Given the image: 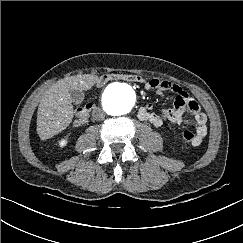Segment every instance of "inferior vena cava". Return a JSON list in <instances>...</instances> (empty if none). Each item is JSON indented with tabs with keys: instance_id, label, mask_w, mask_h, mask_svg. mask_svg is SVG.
Here are the masks:
<instances>
[{
	"instance_id": "1",
	"label": "inferior vena cava",
	"mask_w": 243,
	"mask_h": 243,
	"mask_svg": "<svg viewBox=\"0 0 243 243\" xmlns=\"http://www.w3.org/2000/svg\"><path fill=\"white\" fill-rule=\"evenodd\" d=\"M105 116L106 113L101 108H96L92 111V117L97 121L104 120Z\"/></svg>"
}]
</instances>
